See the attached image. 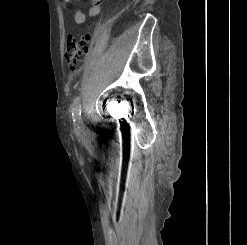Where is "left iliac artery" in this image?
<instances>
[{
  "instance_id": "44dca946",
  "label": "left iliac artery",
  "mask_w": 247,
  "mask_h": 245,
  "mask_svg": "<svg viewBox=\"0 0 247 245\" xmlns=\"http://www.w3.org/2000/svg\"><path fill=\"white\" fill-rule=\"evenodd\" d=\"M73 121L79 124L81 121V99L79 96L75 97L72 103Z\"/></svg>"
}]
</instances>
